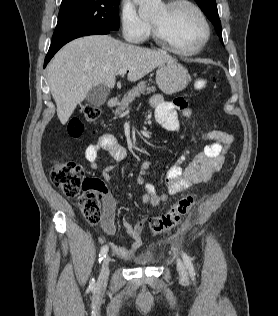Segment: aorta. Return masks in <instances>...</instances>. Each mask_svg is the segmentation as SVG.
<instances>
[{"label":"aorta","instance_id":"1","mask_svg":"<svg viewBox=\"0 0 278 316\" xmlns=\"http://www.w3.org/2000/svg\"><path fill=\"white\" fill-rule=\"evenodd\" d=\"M139 6V15L147 18L154 15L160 7L161 0H134Z\"/></svg>","mask_w":278,"mask_h":316}]
</instances>
